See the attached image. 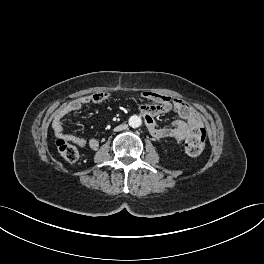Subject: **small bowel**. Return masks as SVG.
I'll list each match as a JSON object with an SVG mask.
<instances>
[{"label": "small bowel", "mask_w": 264, "mask_h": 264, "mask_svg": "<svg viewBox=\"0 0 264 264\" xmlns=\"http://www.w3.org/2000/svg\"><path fill=\"white\" fill-rule=\"evenodd\" d=\"M109 97L107 93H97L91 96H83L63 104L55 113L52 128L59 138L69 140L80 147H90L96 150L99 147V141L95 138L85 139L74 134H65L62 119L69 113L80 110L89 103H100ZM143 97L154 102L152 105H141L140 112L144 118L146 127L155 139L174 138L182 141L188 138L195 130L202 127V121L199 114L187 103L181 99H171L167 95L144 92ZM174 108L180 119L172 122L170 126L160 127L155 121V117L168 112Z\"/></svg>", "instance_id": "c3829d8e"}]
</instances>
